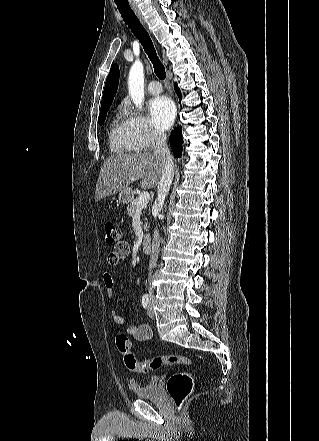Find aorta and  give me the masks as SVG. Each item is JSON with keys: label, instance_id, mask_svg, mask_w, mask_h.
Here are the masks:
<instances>
[{"label": "aorta", "instance_id": "aorta-1", "mask_svg": "<svg viewBox=\"0 0 319 441\" xmlns=\"http://www.w3.org/2000/svg\"><path fill=\"white\" fill-rule=\"evenodd\" d=\"M128 91L136 107H141L144 101V68L140 60H136L130 68Z\"/></svg>", "mask_w": 319, "mask_h": 441}]
</instances>
